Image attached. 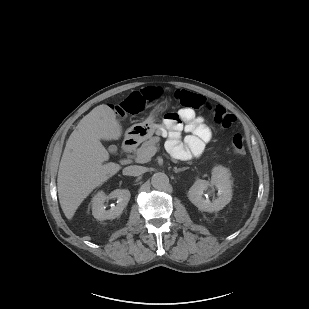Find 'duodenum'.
Masks as SVG:
<instances>
[{
	"instance_id": "1",
	"label": "duodenum",
	"mask_w": 309,
	"mask_h": 309,
	"mask_svg": "<svg viewBox=\"0 0 309 309\" xmlns=\"http://www.w3.org/2000/svg\"><path fill=\"white\" fill-rule=\"evenodd\" d=\"M136 147V141L132 137H127L122 145V149L124 152H130Z\"/></svg>"
}]
</instances>
